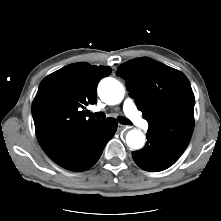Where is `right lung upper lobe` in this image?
<instances>
[{"label": "right lung upper lobe", "instance_id": "cb5924a9", "mask_svg": "<svg viewBox=\"0 0 221 221\" xmlns=\"http://www.w3.org/2000/svg\"><path fill=\"white\" fill-rule=\"evenodd\" d=\"M111 72L108 66L79 62L44 78L32 104V115L38 142L47 155L99 121L87 118L84 109L97 103V84Z\"/></svg>", "mask_w": 221, "mask_h": 221}]
</instances>
